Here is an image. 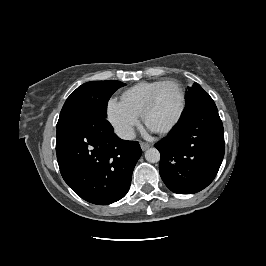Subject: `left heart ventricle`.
Returning <instances> with one entry per match:
<instances>
[{
	"label": "left heart ventricle",
	"instance_id": "left-heart-ventricle-1",
	"mask_svg": "<svg viewBox=\"0 0 266 266\" xmlns=\"http://www.w3.org/2000/svg\"><path fill=\"white\" fill-rule=\"evenodd\" d=\"M180 96L176 85L164 86L147 115V125L159 130L168 125L179 107Z\"/></svg>",
	"mask_w": 266,
	"mask_h": 266
}]
</instances>
